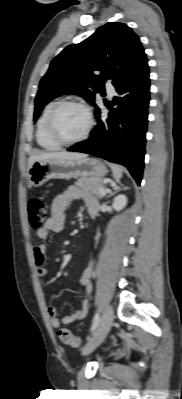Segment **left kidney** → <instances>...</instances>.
Listing matches in <instances>:
<instances>
[{"label": "left kidney", "mask_w": 182, "mask_h": 399, "mask_svg": "<svg viewBox=\"0 0 182 399\" xmlns=\"http://www.w3.org/2000/svg\"><path fill=\"white\" fill-rule=\"evenodd\" d=\"M126 205H127V197L123 194L116 196L112 203V207L116 211H121L123 208H125Z\"/></svg>", "instance_id": "5707ae66"}]
</instances>
